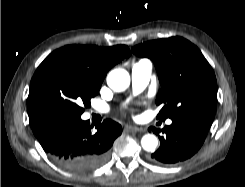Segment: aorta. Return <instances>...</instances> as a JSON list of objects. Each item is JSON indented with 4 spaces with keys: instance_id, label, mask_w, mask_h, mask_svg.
I'll return each mask as SVG.
<instances>
[{
    "instance_id": "762f6f07",
    "label": "aorta",
    "mask_w": 245,
    "mask_h": 187,
    "mask_svg": "<svg viewBox=\"0 0 245 187\" xmlns=\"http://www.w3.org/2000/svg\"><path fill=\"white\" fill-rule=\"evenodd\" d=\"M107 84L116 92L124 91L130 85L129 73L124 69H114L107 76ZM141 145L144 150L153 152L158 145V140L156 136L146 134L141 139Z\"/></svg>"
}]
</instances>
